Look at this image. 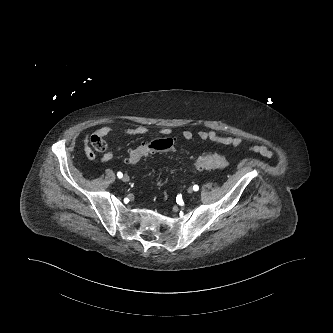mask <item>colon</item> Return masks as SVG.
<instances>
[{
	"mask_svg": "<svg viewBox=\"0 0 333 333\" xmlns=\"http://www.w3.org/2000/svg\"><path fill=\"white\" fill-rule=\"evenodd\" d=\"M92 147L99 152L105 151L108 148V142L104 137L92 135L90 138ZM174 147V140L169 137H161L149 142H143L131 149L125 158L129 165H135L144 157L157 151L171 150ZM228 165L227 159L217 153H206L198 157L194 166L198 170L205 169H221Z\"/></svg>",
	"mask_w": 333,
	"mask_h": 333,
	"instance_id": "colon-1",
	"label": "colon"
}]
</instances>
